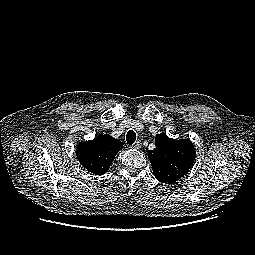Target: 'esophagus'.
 Segmentation results:
<instances>
[{
	"mask_svg": "<svg viewBox=\"0 0 255 255\" xmlns=\"http://www.w3.org/2000/svg\"><path fill=\"white\" fill-rule=\"evenodd\" d=\"M133 149H139L141 147V142L140 141H137L135 142L132 146H131Z\"/></svg>",
	"mask_w": 255,
	"mask_h": 255,
	"instance_id": "34e87169",
	"label": "esophagus"
}]
</instances>
